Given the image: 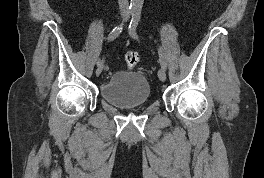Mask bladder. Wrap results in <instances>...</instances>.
<instances>
[{
  "label": "bladder",
  "instance_id": "bladder-1",
  "mask_svg": "<svg viewBox=\"0 0 264 178\" xmlns=\"http://www.w3.org/2000/svg\"><path fill=\"white\" fill-rule=\"evenodd\" d=\"M150 85L139 72L116 71L101 85L100 95L107 103L118 108H132L147 103Z\"/></svg>",
  "mask_w": 264,
  "mask_h": 178
}]
</instances>
